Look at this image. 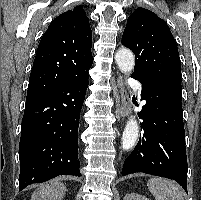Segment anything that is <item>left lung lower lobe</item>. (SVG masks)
Masks as SVG:
<instances>
[{"mask_svg":"<svg viewBox=\"0 0 201 200\" xmlns=\"http://www.w3.org/2000/svg\"><path fill=\"white\" fill-rule=\"evenodd\" d=\"M140 112L142 136L124 162L122 175L143 172L178 182L187 192V157L181 105V81L143 82ZM188 193V192H187Z\"/></svg>","mask_w":201,"mask_h":200,"instance_id":"left-lung-lower-lobe-1","label":"left lung lower lobe"}]
</instances>
